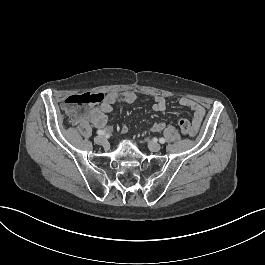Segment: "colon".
I'll return each mask as SVG.
<instances>
[{"label": "colon", "mask_w": 265, "mask_h": 265, "mask_svg": "<svg viewBox=\"0 0 265 265\" xmlns=\"http://www.w3.org/2000/svg\"><path fill=\"white\" fill-rule=\"evenodd\" d=\"M104 101V96L100 92H84L82 94L75 93L68 100H64L60 104V113L65 119H73L77 115V110L80 107H93L100 105ZM179 126L183 136L193 134L192 122L188 119H180Z\"/></svg>", "instance_id": "obj_1"}]
</instances>
